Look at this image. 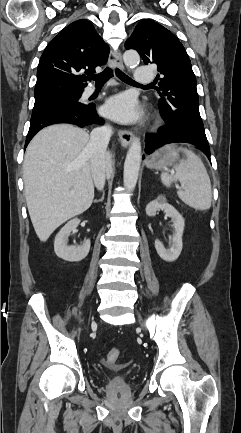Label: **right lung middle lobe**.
<instances>
[{"label": "right lung middle lobe", "mask_w": 241, "mask_h": 433, "mask_svg": "<svg viewBox=\"0 0 241 433\" xmlns=\"http://www.w3.org/2000/svg\"><path fill=\"white\" fill-rule=\"evenodd\" d=\"M82 91H61L35 96L31 120L57 108L81 105L78 99Z\"/></svg>", "instance_id": "right-lung-middle-lobe-1"}]
</instances>
